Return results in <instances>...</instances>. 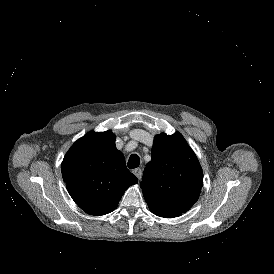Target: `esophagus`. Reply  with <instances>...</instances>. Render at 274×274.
Masks as SVG:
<instances>
[{"instance_id":"obj_1","label":"esophagus","mask_w":274,"mask_h":274,"mask_svg":"<svg viewBox=\"0 0 274 274\" xmlns=\"http://www.w3.org/2000/svg\"><path fill=\"white\" fill-rule=\"evenodd\" d=\"M132 172L137 176L138 179L141 178V176H142V169L141 168L133 169Z\"/></svg>"}]
</instances>
